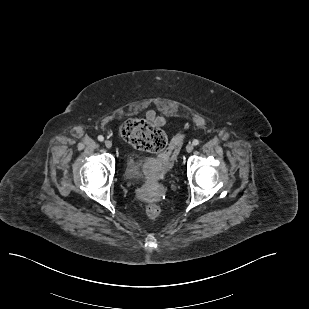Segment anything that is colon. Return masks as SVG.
<instances>
[{
  "label": "colon",
  "mask_w": 309,
  "mask_h": 309,
  "mask_svg": "<svg viewBox=\"0 0 309 309\" xmlns=\"http://www.w3.org/2000/svg\"><path fill=\"white\" fill-rule=\"evenodd\" d=\"M122 138L138 150L160 153L159 160L163 166L168 165V156L182 141V135L176 136L168 145L165 134L149 122L134 118L125 121L120 127ZM146 215L154 219L161 209L157 204L150 203L145 208Z\"/></svg>",
  "instance_id": "colon-1"
}]
</instances>
